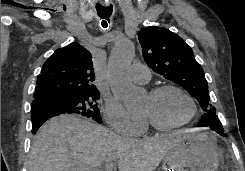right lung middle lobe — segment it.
Listing matches in <instances>:
<instances>
[{
	"label": "right lung middle lobe",
	"mask_w": 245,
	"mask_h": 171,
	"mask_svg": "<svg viewBox=\"0 0 245 171\" xmlns=\"http://www.w3.org/2000/svg\"><path fill=\"white\" fill-rule=\"evenodd\" d=\"M99 99V93L82 95H53L46 100L58 105L67 113H77L88 118H92L98 123H102L100 110L97 107L96 100Z\"/></svg>",
	"instance_id": "right-lung-middle-lobe-1"
}]
</instances>
